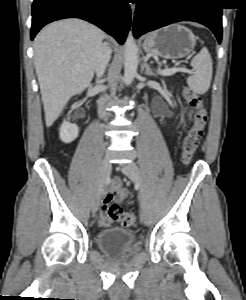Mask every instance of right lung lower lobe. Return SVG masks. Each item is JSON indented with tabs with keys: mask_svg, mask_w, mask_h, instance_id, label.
I'll list each match as a JSON object with an SVG mask.
<instances>
[{
	"mask_svg": "<svg viewBox=\"0 0 246 300\" xmlns=\"http://www.w3.org/2000/svg\"><path fill=\"white\" fill-rule=\"evenodd\" d=\"M87 20L123 44L130 26L127 0H34L31 39L46 24L63 18Z\"/></svg>",
	"mask_w": 246,
	"mask_h": 300,
	"instance_id": "obj_1",
	"label": "right lung lower lobe"
}]
</instances>
